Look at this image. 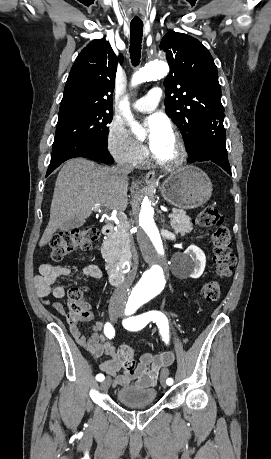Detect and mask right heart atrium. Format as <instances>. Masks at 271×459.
<instances>
[{"instance_id":"1","label":"right heart atrium","mask_w":271,"mask_h":459,"mask_svg":"<svg viewBox=\"0 0 271 459\" xmlns=\"http://www.w3.org/2000/svg\"><path fill=\"white\" fill-rule=\"evenodd\" d=\"M106 146L113 158L125 160L133 166L142 163L148 155L145 146L138 143L125 126L116 122L109 126Z\"/></svg>"}]
</instances>
